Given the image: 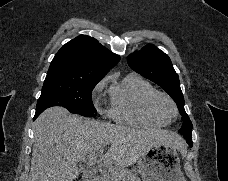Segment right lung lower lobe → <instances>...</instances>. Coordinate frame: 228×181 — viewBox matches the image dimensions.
Returning <instances> with one entry per match:
<instances>
[{"label": "right lung lower lobe", "mask_w": 228, "mask_h": 181, "mask_svg": "<svg viewBox=\"0 0 228 181\" xmlns=\"http://www.w3.org/2000/svg\"><path fill=\"white\" fill-rule=\"evenodd\" d=\"M38 115H40V114H35V117H34V119H35L36 117H38Z\"/></svg>", "instance_id": "right-lung-lower-lobe-1"}]
</instances>
